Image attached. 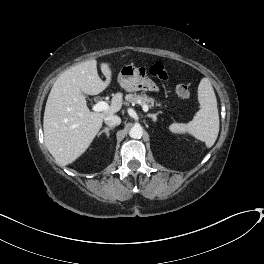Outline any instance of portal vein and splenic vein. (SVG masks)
<instances>
[{"label": "portal vein and splenic vein", "mask_w": 264, "mask_h": 264, "mask_svg": "<svg viewBox=\"0 0 264 264\" xmlns=\"http://www.w3.org/2000/svg\"><path fill=\"white\" fill-rule=\"evenodd\" d=\"M108 108H109V105L105 101H99L92 107L93 111L95 112H105L108 110ZM142 109L144 112H147L149 110L147 105H143Z\"/></svg>", "instance_id": "1"}]
</instances>
